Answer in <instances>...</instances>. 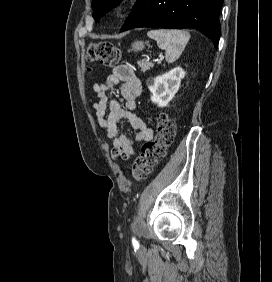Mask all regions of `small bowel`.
<instances>
[{
    "instance_id": "c3829d8e",
    "label": "small bowel",
    "mask_w": 272,
    "mask_h": 282,
    "mask_svg": "<svg viewBox=\"0 0 272 282\" xmlns=\"http://www.w3.org/2000/svg\"><path fill=\"white\" fill-rule=\"evenodd\" d=\"M118 85L125 100L124 106L108 96V93L114 91ZM93 90L97 97V101L93 103L94 115L98 125L105 130L106 136L113 141L111 151L113 159L128 158L133 154L135 144L147 142L153 138V129L133 112L142 87L129 65L114 67L103 82L93 85ZM122 119H126L137 130L134 139L128 138L120 131L118 123Z\"/></svg>"
}]
</instances>
